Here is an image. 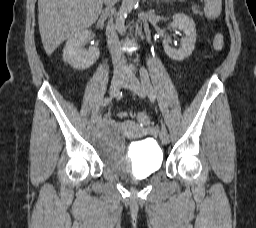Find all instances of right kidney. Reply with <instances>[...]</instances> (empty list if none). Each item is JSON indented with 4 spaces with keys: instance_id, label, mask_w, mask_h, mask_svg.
Returning <instances> with one entry per match:
<instances>
[{
    "instance_id": "1",
    "label": "right kidney",
    "mask_w": 256,
    "mask_h": 228,
    "mask_svg": "<svg viewBox=\"0 0 256 228\" xmlns=\"http://www.w3.org/2000/svg\"><path fill=\"white\" fill-rule=\"evenodd\" d=\"M91 36V31L82 30L72 35L63 50L64 60L73 68L85 70L91 67L99 58V49L90 47L85 51L83 46L85 41Z\"/></svg>"
}]
</instances>
